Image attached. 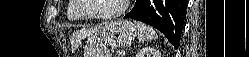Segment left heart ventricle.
Segmentation results:
<instances>
[{"mask_svg":"<svg viewBox=\"0 0 249 57\" xmlns=\"http://www.w3.org/2000/svg\"><path fill=\"white\" fill-rule=\"evenodd\" d=\"M123 0H88L86 11L91 14H108L119 10Z\"/></svg>","mask_w":249,"mask_h":57,"instance_id":"obj_1","label":"left heart ventricle"}]
</instances>
